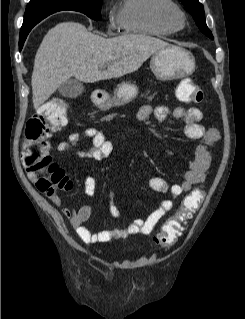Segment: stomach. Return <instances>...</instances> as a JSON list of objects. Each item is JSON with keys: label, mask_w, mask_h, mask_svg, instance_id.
Returning a JSON list of instances; mask_svg holds the SVG:
<instances>
[{"label": "stomach", "mask_w": 245, "mask_h": 319, "mask_svg": "<svg viewBox=\"0 0 245 319\" xmlns=\"http://www.w3.org/2000/svg\"><path fill=\"white\" fill-rule=\"evenodd\" d=\"M150 67L160 80H171L191 74L195 69L193 55L178 46L168 45L156 51L150 60ZM138 93V88L131 82L120 83L112 98L97 104L98 108L106 111L113 106H121L132 101Z\"/></svg>", "instance_id": "stomach-1"}]
</instances>
